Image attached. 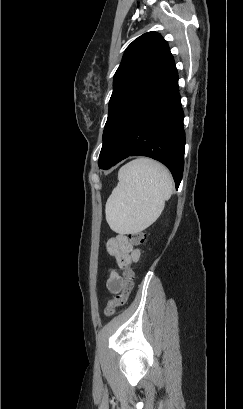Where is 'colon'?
Wrapping results in <instances>:
<instances>
[{
	"instance_id": "obj_1",
	"label": "colon",
	"mask_w": 243,
	"mask_h": 409,
	"mask_svg": "<svg viewBox=\"0 0 243 409\" xmlns=\"http://www.w3.org/2000/svg\"><path fill=\"white\" fill-rule=\"evenodd\" d=\"M128 238L133 245H141L146 241L147 234L143 230L132 231L128 233ZM123 283L122 291L116 297L108 302L104 309V314L110 317L114 314L118 307L123 306L129 297V294L133 287V269L126 267L122 274Z\"/></svg>"
}]
</instances>
